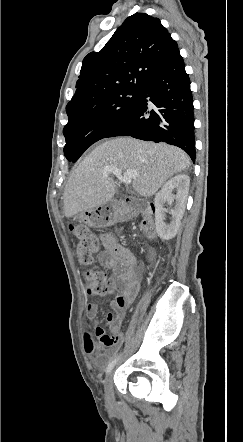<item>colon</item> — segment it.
<instances>
[{
    "label": "colon",
    "mask_w": 243,
    "mask_h": 442,
    "mask_svg": "<svg viewBox=\"0 0 243 442\" xmlns=\"http://www.w3.org/2000/svg\"><path fill=\"white\" fill-rule=\"evenodd\" d=\"M153 206L139 203L138 212L149 214ZM70 231L77 239L76 252L79 262L89 266L85 275V290L89 295H105L111 291L106 275L96 266H91L93 255L99 249V238L84 223L70 225Z\"/></svg>",
    "instance_id": "5ec220e1"
}]
</instances>
